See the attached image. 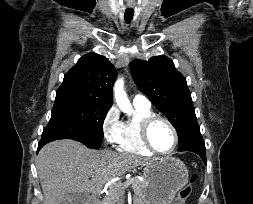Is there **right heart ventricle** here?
Masks as SVG:
<instances>
[{"mask_svg":"<svg viewBox=\"0 0 253 204\" xmlns=\"http://www.w3.org/2000/svg\"><path fill=\"white\" fill-rule=\"evenodd\" d=\"M135 115L122 122L121 132L117 141L118 150L139 156H151L153 153L143 144L140 136L142 121L153 115L150 107L134 105Z\"/></svg>","mask_w":253,"mask_h":204,"instance_id":"right-heart-ventricle-1","label":"right heart ventricle"}]
</instances>
